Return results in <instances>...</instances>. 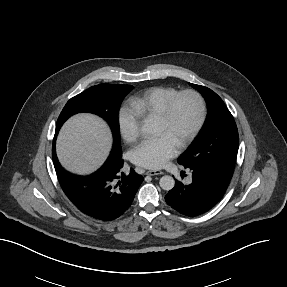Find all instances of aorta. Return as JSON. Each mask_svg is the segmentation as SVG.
Here are the masks:
<instances>
[{
  "mask_svg": "<svg viewBox=\"0 0 287 287\" xmlns=\"http://www.w3.org/2000/svg\"><path fill=\"white\" fill-rule=\"evenodd\" d=\"M142 131L144 133H152V127L150 125H144ZM159 185L163 190L169 191L175 186V180L172 176L165 175L160 178Z\"/></svg>",
  "mask_w": 287,
  "mask_h": 287,
  "instance_id": "762f6f07",
  "label": "aorta"
}]
</instances>
